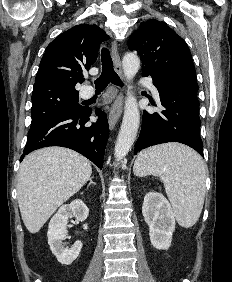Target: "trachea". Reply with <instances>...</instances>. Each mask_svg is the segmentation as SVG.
<instances>
[{
    "label": "trachea",
    "instance_id": "obj_1",
    "mask_svg": "<svg viewBox=\"0 0 232 282\" xmlns=\"http://www.w3.org/2000/svg\"><path fill=\"white\" fill-rule=\"evenodd\" d=\"M101 62L102 72L100 77L95 80L96 92H102L107 87L109 82L122 86L123 83L117 73L114 71L110 52L107 48H103L101 51Z\"/></svg>",
    "mask_w": 232,
    "mask_h": 282
}]
</instances>
